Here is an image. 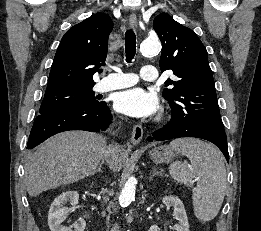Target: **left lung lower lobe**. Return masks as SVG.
Masks as SVG:
<instances>
[{"instance_id":"obj_1","label":"left lung lower lobe","mask_w":261,"mask_h":231,"mask_svg":"<svg viewBox=\"0 0 261 231\" xmlns=\"http://www.w3.org/2000/svg\"><path fill=\"white\" fill-rule=\"evenodd\" d=\"M180 137H196L208 140L214 143L222 151L226 160L229 161L227 140L202 133L181 119L172 118L163 128L155 131L152 136L148 137V141H162Z\"/></svg>"}]
</instances>
